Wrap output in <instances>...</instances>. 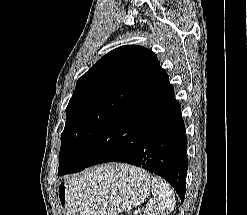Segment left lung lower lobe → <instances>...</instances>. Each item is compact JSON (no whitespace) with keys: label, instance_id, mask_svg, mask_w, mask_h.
I'll return each mask as SVG.
<instances>
[{"label":"left lung lower lobe","instance_id":"obj_1","mask_svg":"<svg viewBox=\"0 0 247 215\" xmlns=\"http://www.w3.org/2000/svg\"><path fill=\"white\" fill-rule=\"evenodd\" d=\"M181 107L164 69L159 67L111 129L82 147L79 158L60 174L99 163L142 167L167 180L184 200L188 159Z\"/></svg>","mask_w":247,"mask_h":215}]
</instances>
